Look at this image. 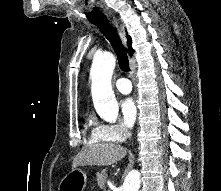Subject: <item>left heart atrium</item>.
<instances>
[{
    "label": "left heart atrium",
    "mask_w": 221,
    "mask_h": 191,
    "mask_svg": "<svg viewBox=\"0 0 221 191\" xmlns=\"http://www.w3.org/2000/svg\"><path fill=\"white\" fill-rule=\"evenodd\" d=\"M121 112L124 123L131 127L137 118V105L132 97H126L121 102Z\"/></svg>",
    "instance_id": "obj_1"
}]
</instances>
